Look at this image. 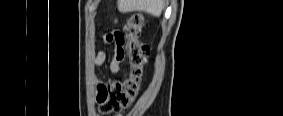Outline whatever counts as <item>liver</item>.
<instances>
[{
	"label": "liver",
	"instance_id": "6515ba94",
	"mask_svg": "<svg viewBox=\"0 0 283 116\" xmlns=\"http://www.w3.org/2000/svg\"><path fill=\"white\" fill-rule=\"evenodd\" d=\"M165 0H118L121 12L144 11L152 16H160L164 9Z\"/></svg>",
	"mask_w": 283,
	"mask_h": 116
}]
</instances>
